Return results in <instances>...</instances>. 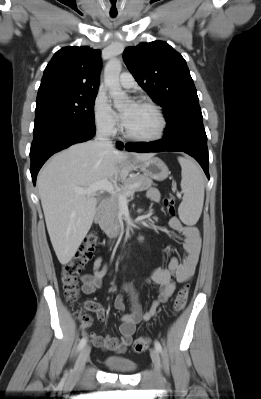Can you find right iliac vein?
<instances>
[{
	"mask_svg": "<svg viewBox=\"0 0 261 399\" xmlns=\"http://www.w3.org/2000/svg\"><path fill=\"white\" fill-rule=\"evenodd\" d=\"M90 346L86 345L81 352L79 353V356L77 358L75 368H74V375L79 376L81 372L83 371L86 361L90 355Z\"/></svg>",
	"mask_w": 261,
	"mask_h": 399,
	"instance_id": "right-iliac-vein-1",
	"label": "right iliac vein"
}]
</instances>
